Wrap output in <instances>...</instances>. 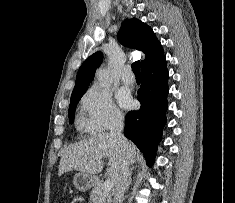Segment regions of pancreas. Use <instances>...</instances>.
Wrapping results in <instances>:
<instances>
[{"label": "pancreas", "mask_w": 235, "mask_h": 203, "mask_svg": "<svg viewBox=\"0 0 235 203\" xmlns=\"http://www.w3.org/2000/svg\"><path fill=\"white\" fill-rule=\"evenodd\" d=\"M92 203H112L109 191L103 190V183L97 182L90 193Z\"/></svg>", "instance_id": "pancreas-1"}]
</instances>
